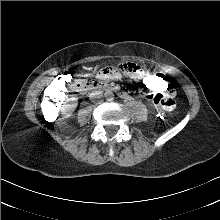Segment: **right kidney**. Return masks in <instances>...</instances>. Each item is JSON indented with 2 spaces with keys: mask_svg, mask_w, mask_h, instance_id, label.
Returning a JSON list of instances; mask_svg holds the SVG:
<instances>
[{
  "mask_svg": "<svg viewBox=\"0 0 220 220\" xmlns=\"http://www.w3.org/2000/svg\"><path fill=\"white\" fill-rule=\"evenodd\" d=\"M76 108V104L74 102L72 103H67L65 105L62 106L61 108V112L65 115V116H70L72 114V112L75 110Z\"/></svg>",
  "mask_w": 220,
  "mask_h": 220,
  "instance_id": "ca27d5eb",
  "label": "right kidney"
}]
</instances>
